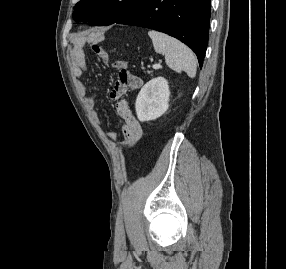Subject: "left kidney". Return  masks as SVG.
<instances>
[{
    "mask_svg": "<svg viewBox=\"0 0 286 269\" xmlns=\"http://www.w3.org/2000/svg\"><path fill=\"white\" fill-rule=\"evenodd\" d=\"M169 97L166 79L157 77L147 82L140 90L135 103L138 119L145 122L162 116L168 110Z\"/></svg>",
    "mask_w": 286,
    "mask_h": 269,
    "instance_id": "obj_1",
    "label": "left kidney"
}]
</instances>
